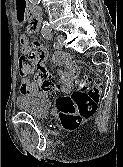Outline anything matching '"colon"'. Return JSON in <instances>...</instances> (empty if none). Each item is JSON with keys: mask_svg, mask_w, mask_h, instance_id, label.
Here are the masks:
<instances>
[{"mask_svg": "<svg viewBox=\"0 0 123 167\" xmlns=\"http://www.w3.org/2000/svg\"><path fill=\"white\" fill-rule=\"evenodd\" d=\"M57 60L58 62H64L66 56L59 54ZM30 64L28 57L21 56L19 58L20 72H25ZM37 69L35 82L40 90L44 93H55L58 96L57 109L64 128L74 129L84 119L95 113L102 88L100 80L89 76L77 78L74 81L75 90L72 93H65L60 86L50 82L44 68L38 67Z\"/></svg>", "mask_w": 123, "mask_h": 167, "instance_id": "5ec220e1", "label": "colon"}]
</instances>
